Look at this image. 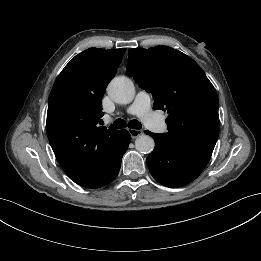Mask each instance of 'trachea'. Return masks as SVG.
Masks as SVG:
<instances>
[{
    "label": "trachea",
    "mask_w": 261,
    "mask_h": 261,
    "mask_svg": "<svg viewBox=\"0 0 261 261\" xmlns=\"http://www.w3.org/2000/svg\"><path fill=\"white\" fill-rule=\"evenodd\" d=\"M126 126H128L131 129H141L142 125L141 123L134 119L131 120L128 124H126V122L123 119H117L111 126V129H121V128H125Z\"/></svg>",
    "instance_id": "1"
}]
</instances>
